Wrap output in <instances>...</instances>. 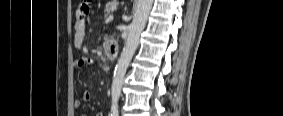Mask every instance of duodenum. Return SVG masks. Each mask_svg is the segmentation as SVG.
<instances>
[{
    "label": "duodenum",
    "mask_w": 283,
    "mask_h": 116,
    "mask_svg": "<svg viewBox=\"0 0 283 116\" xmlns=\"http://www.w3.org/2000/svg\"><path fill=\"white\" fill-rule=\"evenodd\" d=\"M105 49H106L107 55L110 59L116 58V56L118 54V47L114 43L108 41L106 43Z\"/></svg>",
    "instance_id": "obj_1"
}]
</instances>
